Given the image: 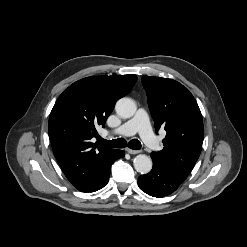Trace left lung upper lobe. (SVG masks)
Listing matches in <instances>:
<instances>
[{"instance_id": "1", "label": "left lung upper lobe", "mask_w": 247, "mask_h": 247, "mask_svg": "<svg viewBox=\"0 0 247 247\" xmlns=\"http://www.w3.org/2000/svg\"><path fill=\"white\" fill-rule=\"evenodd\" d=\"M155 130L166 131L163 150L151 158L188 176L199 158L204 138L202 115L198 104L179 82L161 77H142Z\"/></svg>"}]
</instances>
